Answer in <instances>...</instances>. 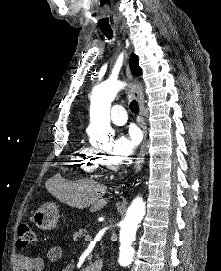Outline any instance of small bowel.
<instances>
[{
  "label": "small bowel",
  "instance_id": "small-bowel-1",
  "mask_svg": "<svg viewBox=\"0 0 221 271\" xmlns=\"http://www.w3.org/2000/svg\"><path fill=\"white\" fill-rule=\"evenodd\" d=\"M63 250L61 246H53L46 253L48 262H57L61 259ZM46 260L39 256L17 254L13 258V271H45ZM62 271H73L72 265H66Z\"/></svg>",
  "mask_w": 221,
  "mask_h": 271
}]
</instances>
